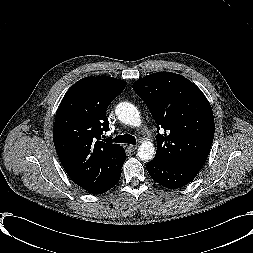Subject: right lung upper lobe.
Here are the masks:
<instances>
[{"instance_id": "cb5924a9", "label": "right lung upper lobe", "mask_w": 253, "mask_h": 253, "mask_svg": "<svg viewBox=\"0 0 253 253\" xmlns=\"http://www.w3.org/2000/svg\"><path fill=\"white\" fill-rule=\"evenodd\" d=\"M126 82L108 77H85L65 94L53 129L56 152L74 183L91 193L100 191L126 159L124 149L101 139L109 129L106 109Z\"/></svg>"}]
</instances>
